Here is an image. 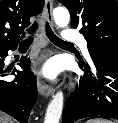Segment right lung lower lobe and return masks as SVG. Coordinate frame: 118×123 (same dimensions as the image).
<instances>
[{
	"label": "right lung lower lobe",
	"instance_id": "right-lung-lower-lobe-1",
	"mask_svg": "<svg viewBox=\"0 0 118 123\" xmlns=\"http://www.w3.org/2000/svg\"><path fill=\"white\" fill-rule=\"evenodd\" d=\"M17 46L0 50V110L14 117L21 123H27L30 111L36 102L37 83L35 76L29 71L30 59L22 57L18 65L23 71L14 70L11 75L18 76L13 81H5L10 70H4V59L8 50Z\"/></svg>",
	"mask_w": 118,
	"mask_h": 123
}]
</instances>
